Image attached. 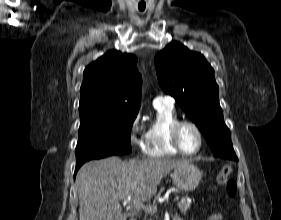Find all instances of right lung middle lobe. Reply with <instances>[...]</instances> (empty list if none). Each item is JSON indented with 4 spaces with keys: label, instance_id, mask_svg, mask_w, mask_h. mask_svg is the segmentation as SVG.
Instances as JSON below:
<instances>
[{
    "label": "right lung middle lobe",
    "instance_id": "1",
    "mask_svg": "<svg viewBox=\"0 0 281 220\" xmlns=\"http://www.w3.org/2000/svg\"><path fill=\"white\" fill-rule=\"evenodd\" d=\"M137 114L82 118L76 164L131 152L130 134Z\"/></svg>",
    "mask_w": 281,
    "mask_h": 220
}]
</instances>
